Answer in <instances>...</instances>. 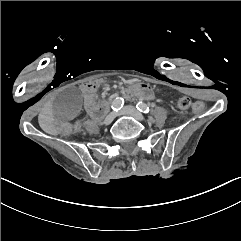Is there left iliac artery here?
<instances>
[{
  "label": "left iliac artery",
  "mask_w": 241,
  "mask_h": 241,
  "mask_svg": "<svg viewBox=\"0 0 241 241\" xmlns=\"http://www.w3.org/2000/svg\"><path fill=\"white\" fill-rule=\"evenodd\" d=\"M136 108L140 111V112H143L145 114L149 113L150 112V108L145 104V103H142V102H138L136 104Z\"/></svg>",
  "instance_id": "1"
}]
</instances>
